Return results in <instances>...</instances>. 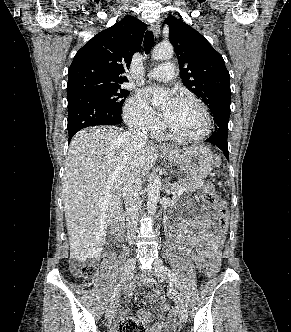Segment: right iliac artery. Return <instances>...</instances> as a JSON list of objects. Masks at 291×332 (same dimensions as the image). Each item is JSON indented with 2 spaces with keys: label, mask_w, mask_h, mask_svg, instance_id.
Instances as JSON below:
<instances>
[{
  "label": "right iliac artery",
  "mask_w": 291,
  "mask_h": 332,
  "mask_svg": "<svg viewBox=\"0 0 291 332\" xmlns=\"http://www.w3.org/2000/svg\"><path fill=\"white\" fill-rule=\"evenodd\" d=\"M121 283H122V282L118 283L117 286H116L115 289H114L113 295H112V297H111V299H110L111 304L113 303V301H114V299H115V296H116L117 292L119 291V288H120V286H121Z\"/></svg>",
  "instance_id": "82829eb1"
}]
</instances>
